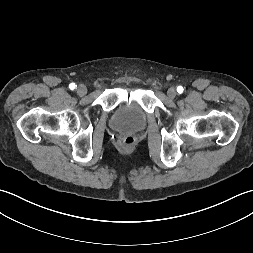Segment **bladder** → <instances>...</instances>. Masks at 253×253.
<instances>
[{"label": "bladder", "mask_w": 253, "mask_h": 253, "mask_svg": "<svg viewBox=\"0 0 253 253\" xmlns=\"http://www.w3.org/2000/svg\"><path fill=\"white\" fill-rule=\"evenodd\" d=\"M111 124L120 131L136 132L145 126L146 114L138 104L124 103L114 111Z\"/></svg>", "instance_id": "31cf9c89"}]
</instances>
